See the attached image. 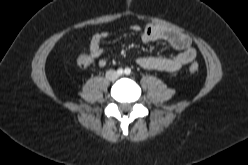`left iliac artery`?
<instances>
[{"label": "left iliac artery", "instance_id": "left-iliac-artery-1", "mask_svg": "<svg viewBox=\"0 0 248 165\" xmlns=\"http://www.w3.org/2000/svg\"><path fill=\"white\" fill-rule=\"evenodd\" d=\"M130 73H131V70H130L129 68H126V69H125V74H126V75H130Z\"/></svg>", "mask_w": 248, "mask_h": 165}]
</instances>
